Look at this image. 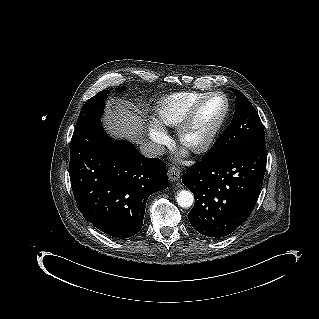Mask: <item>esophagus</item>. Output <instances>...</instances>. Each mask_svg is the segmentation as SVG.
Wrapping results in <instances>:
<instances>
[{
  "label": "esophagus",
  "instance_id": "1",
  "mask_svg": "<svg viewBox=\"0 0 319 319\" xmlns=\"http://www.w3.org/2000/svg\"><path fill=\"white\" fill-rule=\"evenodd\" d=\"M168 178L171 182H176L180 178V169L178 167L172 166L168 170Z\"/></svg>",
  "mask_w": 319,
  "mask_h": 319
}]
</instances>
